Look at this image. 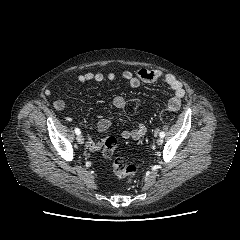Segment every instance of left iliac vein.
I'll return each instance as SVG.
<instances>
[{
  "label": "left iliac vein",
  "mask_w": 240,
  "mask_h": 240,
  "mask_svg": "<svg viewBox=\"0 0 240 240\" xmlns=\"http://www.w3.org/2000/svg\"><path fill=\"white\" fill-rule=\"evenodd\" d=\"M162 143H163V139H162V138H158V139H157V144H158V145H161Z\"/></svg>",
  "instance_id": "4c4485c4"
}]
</instances>
